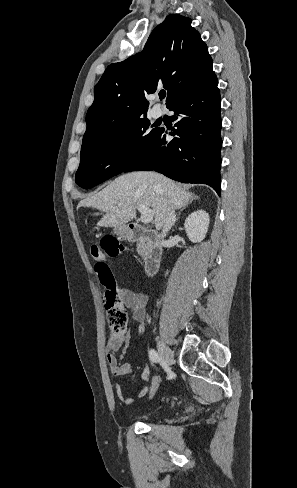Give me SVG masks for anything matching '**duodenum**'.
Segmentation results:
<instances>
[{"instance_id":"obj_1","label":"duodenum","mask_w":297,"mask_h":488,"mask_svg":"<svg viewBox=\"0 0 297 488\" xmlns=\"http://www.w3.org/2000/svg\"><path fill=\"white\" fill-rule=\"evenodd\" d=\"M122 234L128 241L141 243L145 251V272L149 276L154 275L162 260V247L158 233L141 225L129 224L123 229Z\"/></svg>"}]
</instances>
